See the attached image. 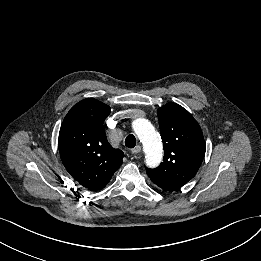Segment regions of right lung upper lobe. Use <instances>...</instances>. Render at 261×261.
<instances>
[{
	"instance_id": "cb5924a9",
	"label": "right lung upper lobe",
	"mask_w": 261,
	"mask_h": 261,
	"mask_svg": "<svg viewBox=\"0 0 261 261\" xmlns=\"http://www.w3.org/2000/svg\"><path fill=\"white\" fill-rule=\"evenodd\" d=\"M110 107L94 99L75 104L59 132L60 157L69 174L83 187L103 189L122 164L124 154L107 141L103 122Z\"/></svg>"
}]
</instances>
